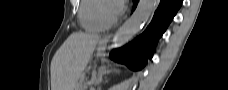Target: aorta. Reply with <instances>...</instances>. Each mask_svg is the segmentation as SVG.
Segmentation results:
<instances>
[{
    "label": "aorta",
    "mask_w": 228,
    "mask_h": 90,
    "mask_svg": "<svg viewBox=\"0 0 228 90\" xmlns=\"http://www.w3.org/2000/svg\"><path fill=\"white\" fill-rule=\"evenodd\" d=\"M157 0H139L132 16L113 36L111 48H119L137 34L156 9Z\"/></svg>",
    "instance_id": "obj_1"
}]
</instances>
